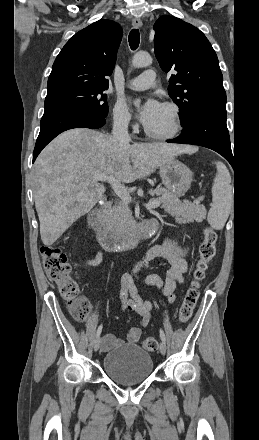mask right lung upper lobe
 Here are the masks:
<instances>
[{
	"label": "right lung upper lobe",
	"instance_id": "1",
	"mask_svg": "<svg viewBox=\"0 0 259 440\" xmlns=\"http://www.w3.org/2000/svg\"><path fill=\"white\" fill-rule=\"evenodd\" d=\"M121 27L99 20L77 32L56 57L48 78L47 94L70 88L107 89L112 74Z\"/></svg>",
	"mask_w": 259,
	"mask_h": 440
}]
</instances>
